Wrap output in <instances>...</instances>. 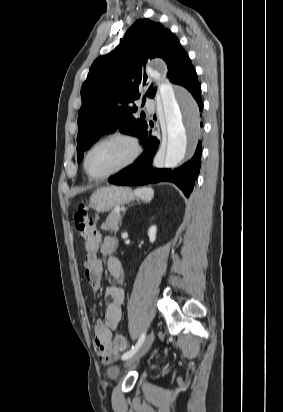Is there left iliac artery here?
<instances>
[{"label": "left iliac artery", "mask_w": 283, "mask_h": 412, "mask_svg": "<svg viewBox=\"0 0 283 412\" xmlns=\"http://www.w3.org/2000/svg\"><path fill=\"white\" fill-rule=\"evenodd\" d=\"M145 337H146V335H145V333H143V334L140 336V338H139L138 342L136 343V345H135V346H132V348H131L129 351H127L126 353H124V354L122 355V360H127V359H129L130 357H132V356L137 352V350L140 348V346L142 345V343L144 342Z\"/></svg>", "instance_id": "obj_1"}]
</instances>
